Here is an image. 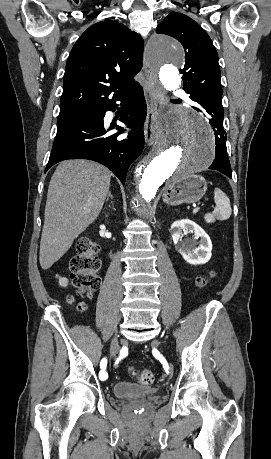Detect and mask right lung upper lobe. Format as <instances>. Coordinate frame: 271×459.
Returning a JSON list of instances; mask_svg holds the SVG:
<instances>
[{
    "mask_svg": "<svg viewBox=\"0 0 271 459\" xmlns=\"http://www.w3.org/2000/svg\"><path fill=\"white\" fill-rule=\"evenodd\" d=\"M144 42L139 34L113 20L90 26L68 57L60 112L99 105L139 83Z\"/></svg>",
    "mask_w": 271,
    "mask_h": 459,
    "instance_id": "obj_1",
    "label": "right lung upper lobe"
}]
</instances>
